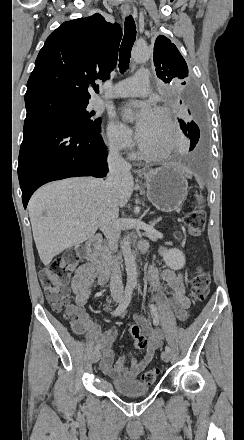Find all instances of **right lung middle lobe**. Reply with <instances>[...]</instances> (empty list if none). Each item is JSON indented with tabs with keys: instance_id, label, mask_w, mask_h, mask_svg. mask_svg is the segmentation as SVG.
<instances>
[{
	"instance_id": "right-lung-middle-lobe-1",
	"label": "right lung middle lobe",
	"mask_w": 244,
	"mask_h": 440,
	"mask_svg": "<svg viewBox=\"0 0 244 440\" xmlns=\"http://www.w3.org/2000/svg\"><path fill=\"white\" fill-rule=\"evenodd\" d=\"M90 98H74L58 94H48L25 98L27 115L43 114L59 118L72 125L85 129L101 124V119H94L95 112L87 111Z\"/></svg>"
}]
</instances>
